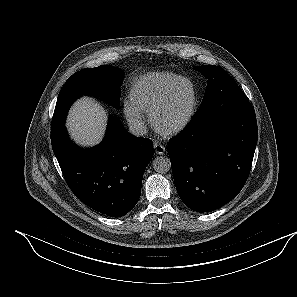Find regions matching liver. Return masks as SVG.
I'll list each match as a JSON object with an SVG mask.
<instances>
[{
    "instance_id": "liver-1",
    "label": "liver",
    "mask_w": 297,
    "mask_h": 297,
    "mask_svg": "<svg viewBox=\"0 0 297 297\" xmlns=\"http://www.w3.org/2000/svg\"><path fill=\"white\" fill-rule=\"evenodd\" d=\"M106 120L103 107L91 98L83 97L72 106L66 125L77 144L94 146L104 135Z\"/></svg>"
}]
</instances>
